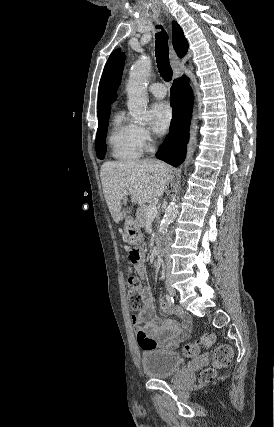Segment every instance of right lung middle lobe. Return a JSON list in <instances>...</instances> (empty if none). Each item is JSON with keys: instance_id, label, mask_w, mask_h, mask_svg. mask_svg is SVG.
<instances>
[{"instance_id": "obj_1", "label": "right lung middle lobe", "mask_w": 274, "mask_h": 427, "mask_svg": "<svg viewBox=\"0 0 274 427\" xmlns=\"http://www.w3.org/2000/svg\"><path fill=\"white\" fill-rule=\"evenodd\" d=\"M110 109L98 113L99 126L96 135V153L99 159H103L106 153L105 138L108 130Z\"/></svg>"}]
</instances>
